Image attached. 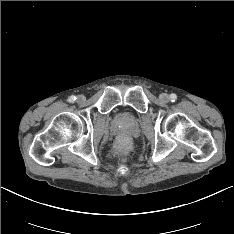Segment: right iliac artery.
Wrapping results in <instances>:
<instances>
[{"instance_id":"obj_1","label":"right iliac artery","mask_w":234,"mask_h":234,"mask_svg":"<svg viewBox=\"0 0 234 234\" xmlns=\"http://www.w3.org/2000/svg\"><path fill=\"white\" fill-rule=\"evenodd\" d=\"M75 100H76L75 96H70L68 99L69 102H74Z\"/></svg>"}]
</instances>
